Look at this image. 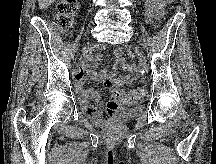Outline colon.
Returning a JSON list of instances; mask_svg holds the SVG:
<instances>
[{
  "instance_id": "obj_1",
  "label": "colon",
  "mask_w": 216,
  "mask_h": 164,
  "mask_svg": "<svg viewBox=\"0 0 216 164\" xmlns=\"http://www.w3.org/2000/svg\"><path fill=\"white\" fill-rule=\"evenodd\" d=\"M177 1V0H174ZM77 10V0H61L56 7L54 17L55 26L61 30H67L72 24V18ZM104 86L110 91L111 98L120 104H135L144 97V89L135 88L127 91L120 88H113L109 82H105Z\"/></svg>"
}]
</instances>
